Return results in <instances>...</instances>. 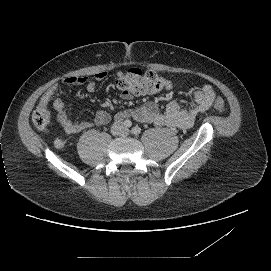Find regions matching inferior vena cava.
Listing matches in <instances>:
<instances>
[{"label": "inferior vena cava", "mask_w": 271, "mask_h": 271, "mask_svg": "<svg viewBox=\"0 0 271 271\" xmlns=\"http://www.w3.org/2000/svg\"><path fill=\"white\" fill-rule=\"evenodd\" d=\"M111 131L114 135L116 136H121L125 133L126 131V126L123 122L121 121H116L112 124L111 126Z\"/></svg>", "instance_id": "602c4592"}]
</instances>
